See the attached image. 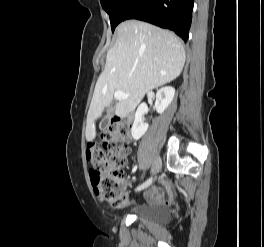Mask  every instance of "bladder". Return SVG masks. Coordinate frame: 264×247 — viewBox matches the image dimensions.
<instances>
[{"label": "bladder", "instance_id": "bladder-1", "mask_svg": "<svg viewBox=\"0 0 264 247\" xmlns=\"http://www.w3.org/2000/svg\"><path fill=\"white\" fill-rule=\"evenodd\" d=\"M135 215L139 219L155 224H163L171 219L170 211L160 206H137Z\"/></svg>", "mask_w": 264, "mask_h": 247}]
</instances>
